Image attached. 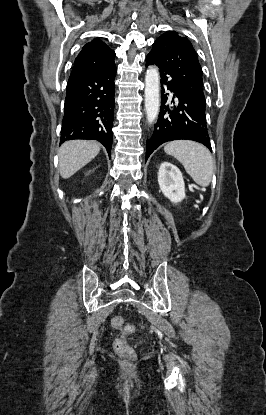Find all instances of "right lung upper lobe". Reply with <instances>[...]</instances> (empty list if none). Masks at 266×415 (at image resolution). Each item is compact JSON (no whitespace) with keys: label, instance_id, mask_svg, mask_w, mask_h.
Instances as JSON below:
<instances>
[{"label":"right lung upper lobe","instance_id":"cb5924a9","mask_svg":"<svg viewBox=\"0 0 266 415\" xmlns=\"http://www.w3.org/2000/svg\"><path fill=\"white\" fill-rule=\"evenodd\" d=\"M115 53L99 39L87 43L75 59L69 80L87 77L111 68Z\"/></svg>","mask_w":266,"mask_h":415}]
</instances>
